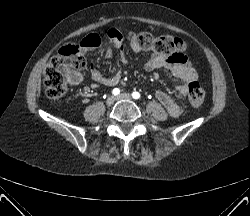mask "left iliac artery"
I'll return each mask as SVG.
<instances>
[{
	"instance_id": "1",
	"label": "left iliac artery",
	"mask_w": 250,
	"mask_h": 216,
	"mask_svg": "<svg viewBox=\"0 0 250 216\" xmlns=\"http://www.w3.org/2000/svg\"><path fill=\"white\" fill-rule=\"evenodd\" d=\"M132 97H133L134 99H139V98H140V94H139L138 92H133V93H132Z\"/></svg>"
}]
</instances>
